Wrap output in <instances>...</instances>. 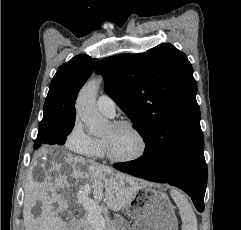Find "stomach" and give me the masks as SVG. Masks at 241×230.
<instances>
[{"mask_svg":"<svg viewBox=\"0 0 241 230\" xmlns=\"http://www.w3.org/2000/svg\"><path fill=\"white\" fill-rule=\"evenodd\" d=\"M126 214L134 223L132 226L116 225L121 230H177L178 221L169 197L153 184L140 182Z\"/></svg>","mask_w":241,"mask_h":230,"instance_id":"stomach-1","label":"stomach"}]
</instances>
